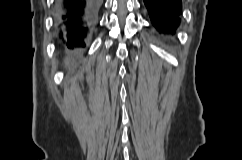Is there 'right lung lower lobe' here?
<instances>
[{"mask_svg":"<svg viewBox=\"0 0 242 160\" xmlns=\"http://www.w3.org/2000/svg\"><path fill=\"white\" fill-rule=\"evenodd\" d=\"M102 0H57L55 25L62 43L84 47Z\"/></svg>","mask_w":242,"mask_h":160,"instance_id":"98d812e1","label":"right lung lower lobe"}]
</instances>
